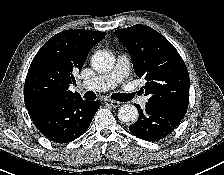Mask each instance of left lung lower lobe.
<instances>
[{"label":"left lung lower lobe","instance_id":"0a47b994","mask_svg":"<svg viewBox=\"0 0 224 175\" xmlns=\"http://www.w3.org/2000/svg\"><path fill=\"white\" fill-rule=\"evenodd\" d=\"M139 111V120L129 127L130 132L145 141H157L169 135L181 122L187 108L148 102L142 110L135 104Z\"/></svg>","mask_w":224,"mask_h":175}]
</instances>
